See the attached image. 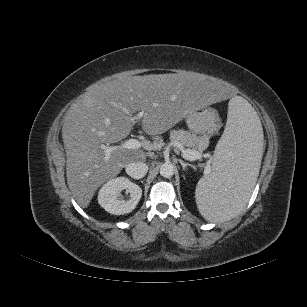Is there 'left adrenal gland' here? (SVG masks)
<instances>
[{
	"label": "left adrenal gland",
	"mask_w": 307,
	"mask_h": 307,
	"mask_svg": "<svg viewBox=\"0 0 307 307\" xmlns=\"http://www.w3.org/2000/svg\"><path fill=\"white\" fill-rule=\"evenodd\" d=\"M179 162H180V164H181L183 170H185L187 167H191V168L194 169V166H193L192 164H190V163H186V162H184V161L181 160V159L179 160Z\"/></svg>",
	"instance_id": "a2214340"
}]
</instances>
